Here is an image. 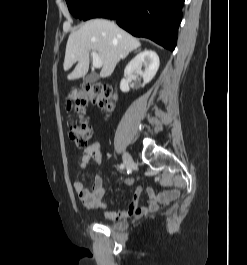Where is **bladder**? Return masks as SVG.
Instances as JSON below:
<instances>
[{
  "label": "bladder",
  "mask_w": 247,
  "mask_h": 265,
  "mask_svg": "<svg viewBox=\"0 0 247 265\" xmlns=\"http://www.w3.org/2000/svg\"><path fill=\"white\" fill-rule=\"evenodd\" d=\"M110 226L115 229H125L127 224L125 222H114Z\"/></svg>",
  "instance_id": "31cf9c89"
}]
</instances>
